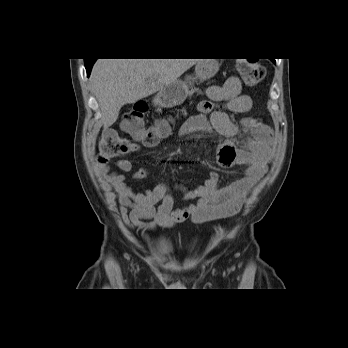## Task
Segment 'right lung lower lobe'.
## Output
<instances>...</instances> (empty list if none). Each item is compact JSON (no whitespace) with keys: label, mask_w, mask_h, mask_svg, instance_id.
Returning a JSON list of instances; mask_svg holds the SVG:
<instances>
[{"label":"right lung lower lobe","mask_w":348,"mask_h":348,"mask_svg":"<svg viewBox=\"0 0 348 348\" xmlns=\"http://www.w3.org/2000/svg\"><path fill=\"white\" fill-rule=\"evenodd\" d=\"M84 60H85V67H86V70H87V75L89 76L91 68H92V65L94 64L96 59H91V60L84 59Z\"/></svg>","instance_id":"1"}]
</instances>
